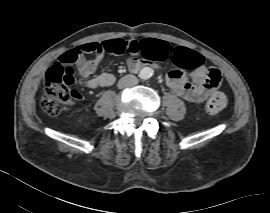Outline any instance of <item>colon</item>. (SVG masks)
<instances>
[{
  "label": "colon",
  "mask_w": 270,
  "mask_h": 213,
  "mask_svg": "<svg viewBox=\"0 0 270 213\" xmlns=\"http://www.w3.org/2000/svg\"><path fill=\"white\" fill-rule=\"evenodd\" d=\"M106 51L111 54L141 53L144 57L156 48L153 43L140 45L139 41L113 39L106 42ZM80 51L72 48L60 55L58 61L49 66L45 73V88L41 98L42 110L51 117H58L62 109L74 102L79 94L72 88L74 81L73 63ZM192 65L199 66L202 57L194 55ZM210 72L218 75L219 71L211 67ZM227 106V97L223 92H215L207 101L206 109L210 114L222 112Z\"/></svg>",
  "instance_id": "obj_1"
}]
</instances>
